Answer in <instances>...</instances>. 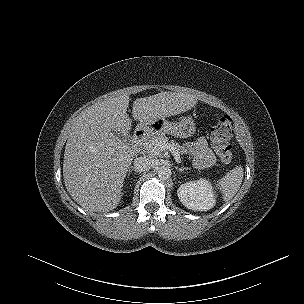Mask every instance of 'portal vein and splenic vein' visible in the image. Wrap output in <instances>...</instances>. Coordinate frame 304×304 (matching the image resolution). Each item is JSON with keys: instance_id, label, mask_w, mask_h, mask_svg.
Returning <instances> with one entry per match:
<instances>
[{"instance_id": "obj_1", "label": "portal vein and splenic vein", "mask_w": 304, "mask_h": 304, "mask_svg": "<svg viewBox=\"0 0 304 304\" xmlns=\"http://www.w3.org/2000/svg\"><path fill=\"white\" fill-rule=\"evenodd\" d=\"M166 149H171L172 153L174 155V158L176 160H179V158H180L179 153L177 151H175L174 148L169 146L166 142H158L153 147H151V149H149L148 153L152 156H155V155H158L159 153H161L163 150H166Z\"/></svg>"}]
</instances>
